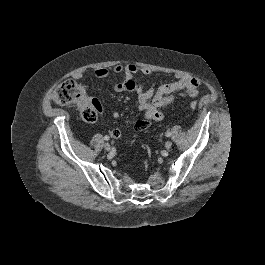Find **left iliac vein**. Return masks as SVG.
<instances>
[{
    "label": "left iliac vein",
    "instance_id": "left-iliac-vein-1",
    "mask_svg": "<svg viewBox=\"0 0 265 265\" xmlns=\"http://www.w3.org/2000/svg\"><path fill=\"white\" fill-rule=\"evenodd\" d=\"M172 147V142L171 141H167L166 143H165V148L166 149H170Z\"/></svg>",
    "mask_w": 265,
    "mask_h": 265
}]
</instances>
